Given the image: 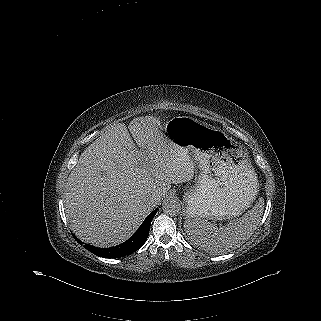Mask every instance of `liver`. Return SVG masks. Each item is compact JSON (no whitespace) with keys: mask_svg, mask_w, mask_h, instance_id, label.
Returning <instances> with one entry per match:
<instances>
[{"mask_svg":"<svg viewBox=\"0 0 321 321\" xmlns=\"http://www.w3.org/2000/svg\"><path fill=\"white\" fill-rule=\"evenodd\" d=\"M128 128L139 151L126 125L117 123L81 153L67 180L64 207L70 228L94 246L127 240L171 184L194 177L193 161L165 137L157 118L137 117Z\"/></svg>","mask_w":321,"mask_h":321,"instance_id":"6515ba94","label":"liver"}]
</instances>
